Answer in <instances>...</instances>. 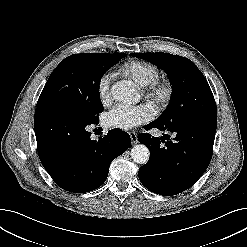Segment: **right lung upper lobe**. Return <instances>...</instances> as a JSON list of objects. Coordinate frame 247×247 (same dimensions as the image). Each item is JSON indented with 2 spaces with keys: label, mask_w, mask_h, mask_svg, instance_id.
Instances as JSON below:
<instances>
[{
  "label": "right lung upper lobe",
  "mask_w": 247,
  "mask_h": 247,
  "mask_svg": "<svg viewBox=\"0 0 247 247\" xmlns=\"http://www.w3.org/2000/svg\"><path fill=\"white\" fill-rule=\"evenodd\" d=\"M107 54V53H106ZM117 54H119V53H117ZM117 54H109V55H117Z\"/></svg>",
  "instance_id": "cb5924a9"
}]
</instances>
